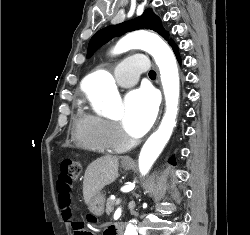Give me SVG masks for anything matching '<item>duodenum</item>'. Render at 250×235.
Returning <instances> with one entry per match:
<instances>
[{
  "label": "duodenum",
  "instance_id": "1",
  "mask_svg": "<svg viewBox=\"0 0 250 235\" xmlns=\"http://www.w3.org/2000/svg\"><path fill=\"white\" fill-rule=\"evenodd\" d=\"M110 235H122L123 234V224L114 225L109 232Z\"/></svg>",
  "mask_w": 250,
  "mask_h": 235
}]
</instances>
